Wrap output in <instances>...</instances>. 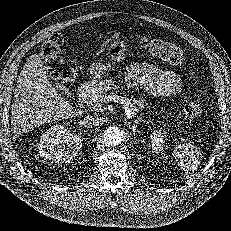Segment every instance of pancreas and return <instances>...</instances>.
<instances>
[{"mask_svg": "<svg viewBox=\"0 0 231 231\" xmlns=\"http://www.w3.org/2000/svg\"><path fill=\"white\" fill-rule=\"evenodd\" d=\"M119 86L115 84V81H113L112 79H105L100 81L99 83L93 85L92 87V92L87 96V101L93 105V106H97L101 103H105L108 100V93H111V91H114L116 89H118ZM129 101H132V107L131 109L133 111L137 110V107L135 105H137L139 108H144L145 107V100L142 98H139L138 100L135 99H130ZM147 107L150 108V106L148 105V103H146ZM162 112H166L164 110H162Z\"/></svg>", "mask_w": 231, "mask_h": 231, "instance_id": "obj_1", "label": "pancreas"}]
</instances>
